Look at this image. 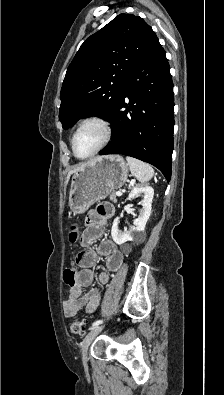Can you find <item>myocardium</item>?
Wrapping results in <instances>:
<instances>
[{"label":"myocardium","instance_id":"myocardium-1","mask_svg":"<svg viewBox=\"0 0 224 395\" xmlns=\"http://www.w3.org/2000/svg\"><path fill=\"white\" fill-rule=\"evenodd\" d=\"M91 123L97 124L102 128L103 139H102L101 143L98 145V147L91 154H89L88 156H85V157H80L76 153V150H75V140H76L78 133L81 131V129ZM112 133H113L112 125L104 117L99 116V115H91V116L85 117L84 119H82L79 122L76 130L74 131V133L72 135L71 148H72L73 155L79 160H86V159L92 158L93 156L98 154L102 149H104L108 145V143L110 142V140L112 138Z\"/></svg>","mask_w":224,"mask_h":395}]
</instances>
